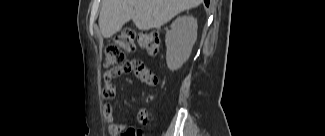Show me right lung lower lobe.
<instances>
[{
    "label": "right lung lower lobe",
    "instance_id": "right-lung-lower-lobe-1",
    "mask_svg": "<svg viewBox=\"0 0 325 136\" xmlns=\"http://www.w3.org/2000/svg\"><path fill=\"white\" fill-rule=\"evenodd\" d=\"M204 2L207 6L209 5V0H204Z\"/></svg>",
    "mask_w": 325,
    "mask_h": 136
}]
</instances>
